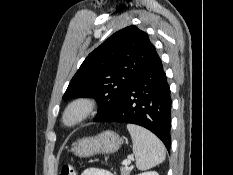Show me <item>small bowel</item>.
I'll use <instances>...</instances> for the list:
<instances>
[{
	"mask_svg": "<svg viewBox=\"0 0 233 175\" xmlns=\"http://www.w3.org/2000/svg\"><path fill=\"white\" fill-rule=\"evenodd\" d=\"M82 175H114V174L105 169L87 168L83 171Z\"/></svg>",
	"mask_w": 233,
	"mask_h": 175,
	"instance_id": "c3829d8e",
	"label": "small bowel"
}]
</instances>
